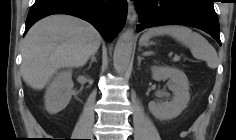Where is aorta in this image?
I'll return each mask as SVG.
<instances>
[{
	"label": "aorta",
	"mask_w": 236,
	"mask_h": 140,
	"mask_svg": "<svg viewBox=\"0 0 236 140\" xmlns=\"http://www.w3.org/2000/svg\"><path fill=\"white\" fill-rule=\"evenodd\" d=\"M134 43L132 30L125 31L118 39L113 55L114 68L117 73H124L130 63Z\"/></svg>",
	"instance_id": "obj_1"
}]
</instances>
